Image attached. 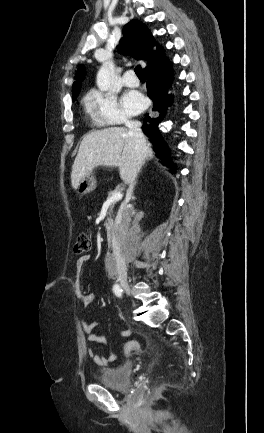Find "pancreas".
I'll list each match as a JSON object with an SVG mask.
<instances>
[{
    "label": "pancreas",
    "instance_id": "pancreas-1",
    "mask_svg": "<svg viewBox=\"0 0 264 433\" xmlns=\"http://www.w3.org/2000/svg\"><path fill=\"white\" fill-rule=\"evenodd\" d=\"M115 192H119V188L115 189L114 191H109L108 192V197H111L113 193ZM115 203H113L110 208H109V215L111 216L113 213V208H114Z\"/></svg>",
    "mask_w": 264,
    "mask_h": 433
}]
</instances>
